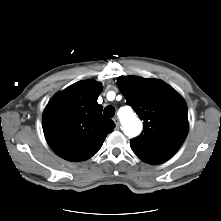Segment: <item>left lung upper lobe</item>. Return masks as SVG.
Listing matches in <instances>:
<instances>
[{"instance_id":"left-lung-upper-lobe-1","label":"left lung upper lobe","mask_w":221,"mask_h":221,"mask_svg":"<svg viewBox=\"0 0 221 221\" xmlns=\"http://www.w3.org/2000/svg\"><path fill=\"white\" fill-rule=\"evenodd\" d=\"M117 85L144 121V130L131 139L133 152L149 164L170 159L183 144L189 130L184 99L165 82L136 76H122Z\"/></svg>"}]
</instances>
